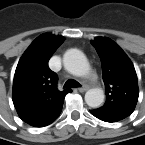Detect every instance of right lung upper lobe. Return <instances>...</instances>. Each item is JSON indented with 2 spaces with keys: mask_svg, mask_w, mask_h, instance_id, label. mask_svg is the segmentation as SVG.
I'll use <instances>...</instances> for the list:
<instances>
[{
  "mask_svg": "<svg viewBox=\"0 0 145 145\" xmlns=\"http://www.w3.org/2000/svg\"><path fill=\"white\" fill-rule=\"evenodd\" d=\"M62 42V37L40 35L17 65L13 102L20 118L32 126L49 125L62 110L67 91L57 89V75L48 67L50 57Z\"/></svg>",
  "mask_w": 145,
  "mask_h": 145,
  "instance_id": "cb5924a9",
  "label": "right lung upper lobe"
}]
</instances>
